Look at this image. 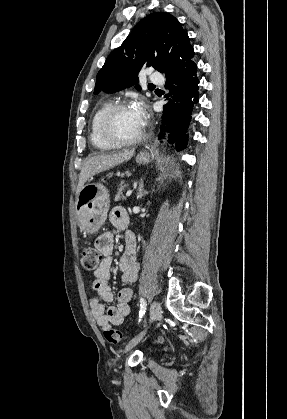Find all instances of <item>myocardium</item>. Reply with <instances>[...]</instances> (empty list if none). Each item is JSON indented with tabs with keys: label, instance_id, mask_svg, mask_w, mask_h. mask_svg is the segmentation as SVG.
Wrapping results in <instances>:
<instances>
[{
	"label": "myocardium",
	"instance_id": "f54148a6",
	"mask_svg": "<svg viewBox=\"0 0 287 419\" xmlns=\"http://www.w3.org/2000/svg\"><path fill=\"white\" fill-rule=\"evenodd\" d=\"M129 105L126 102H117L112 104L102 115L99 122V132L101 136L108 143L114 146L132 145L140 142L145 136V129L133 138H121L114 133L112 130V121L117 112L122 109L128 108Z\"/></svg>",
	"mask_w": 287,
	"mask_h": 419
}]
</instances>
